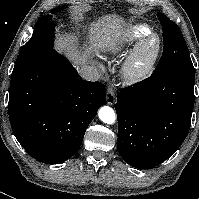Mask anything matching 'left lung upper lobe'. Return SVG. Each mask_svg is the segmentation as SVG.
Returning a JSON list of instances; mask_svg holds the SVG:
<instances>
[{
    "label": "left lung upper lobe",
    "mask_w": 199,
    "mask_h": 199,
    "mask_svg": "<svg viewBox=\"0 0 199 199\" xmlns=\"http://www.w3.org/2000/svg\"><path fill=\"white\" fill-rule=\"evenodd\" d=\"M162 25L164 50L153 75L182 72L195 75L188 48L179 27L163 13H157Z\"/></svg>",
    "instance_id": "obj_1"
}]
</instances>
